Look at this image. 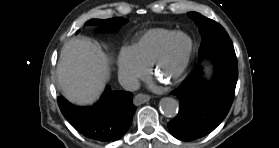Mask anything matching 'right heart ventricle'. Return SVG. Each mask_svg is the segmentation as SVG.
Masks as SVG:
<instances>
[{"label":"right heart ventricle","instance_id":"1","mask_svg":"<svg viewBox=\"0 0 279 148\" xmlns=\"http://www.w3.org/2000/svg\"><path fill=\"white\" fill-rule=\"evenodd\" d=\"M174 32L161 28L149 30L138 38L132 49L139 60L150 67Z\"/></svg>","mask_w":279,"mask_h":148}]
</instances>
